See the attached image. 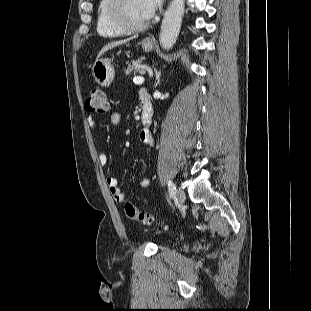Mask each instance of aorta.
<instances>
[{
	"instance_id": "obj_1",
	"label": "aorta",
	"mask_w": 311,
	"mask_h": 311,
	"mask_svg": "<svg viewBox=\"0 0 311 311\" xmlns=\"http://www.w3.org/2000/svg\"><path fill=\"white\" fill-rule=\"evenodd\" d=\"M185 0H172L161 24L159 41L163 49L169 50L175 44L180 32Z\"/></svg>"
}]
</instances>
